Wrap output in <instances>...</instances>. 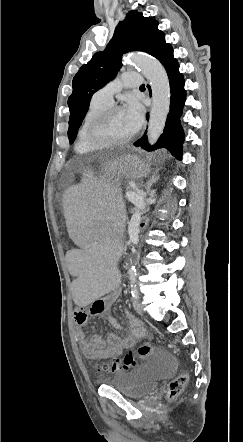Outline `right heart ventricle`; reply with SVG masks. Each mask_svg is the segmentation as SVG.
<instances>
[{"instance_id":"right-heart-ventricle-1","label":"right heart ventricle","mask_w":243,"mask_h":442,"mask_svg":"<svg viewBox=\"0 0 243 442\" xmlns=\"http://www.w3.org/2000/svg\"><path fill=\"white\" fill-rule=\"evenodd\" d=\"M111 105L99 102L92 97L85 114L82 118V121L77 130L76 141L74 145V149L79 154H88L96 151L98 148L93 146L86 137V128L88 123L91 121L93 117L97 114L110 107Z\"/></svg>"}]
</instances>
